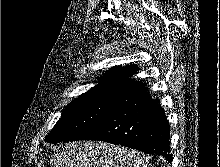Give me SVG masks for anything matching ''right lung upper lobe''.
Returning a JSON list of instances; mask_svg holds the SVG:
<instances>
[{
    "instance_id": "1",
    "label": "right lung upper lobe",
    "mask_w": 220,
    "mask_h": 167,
    "mask_svg": "<svg viewBox=\"0 0 220 167\" xmlns=\"http://www.w3.org/2000/svg\"><path fill=\"white\" fill-rule=\"evenodd\" d=\"M137 70L138 67L136 65L113 67L103 77L99 78L100 83L98 85L75 100L95 97L115 100L124 94L145 87L142 83L132 81L130 78L137 73Z\"/></svg>"
}]
</instances>
